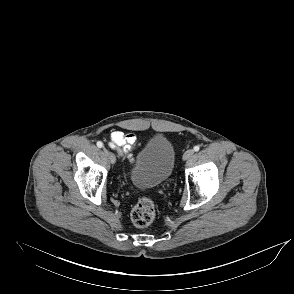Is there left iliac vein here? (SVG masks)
Returning a JSON list of instances; mask_svg holds the SVG:
<instances>
[{
  "instance_id": "4c4485c4",
  "label": "left iliac vein",
  "mask_w": 294,
  "mask_h": 294,
  "mask_svg": "<svg viewBox=\"0 0 294 294\" xmlns=\"http://www.w3.org/2000/svg\"><path fill=\"white\" fill-rule=\"evenodd\" d=\"M194 154V150L193 149H189L187 150L184 155H183V160H187L189 159L190 157H192Z\"/></svg>"
}]
</instances>
